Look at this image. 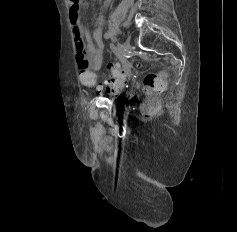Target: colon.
Masks as SVG:
<instances>
[{"label": "colon", "instance_id": "5ec220e1", "mask_svg": "<svg viewBox=\"0 0 237 232\" xmlns=\"http://www.w3.org/2000/svg\"><path fill=\"white\" fill-rule=\"evenodd\" d=\"M111 72L110 78L105 83V88L108 90L122 89L129 77V68L121 62H113L109 64ZM80 80L85 86H94L96 84V75L88 70H81ZM167 85L166 76L164 73H149L144 77L143 89L147 95L154 96L162 93ZM159 109L156 102L147 103L144 107V112L147 116L155 114Z\"/></svg>", "mask_w": 237, "mask_h": 232}]
</instances>
